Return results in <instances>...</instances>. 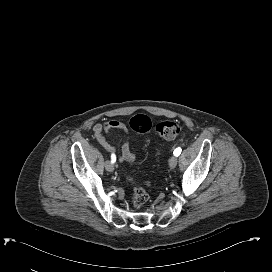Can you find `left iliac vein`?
Listing matches in <instances>:
<instances>
[{
    "label": "left iliac vein",
    "mask_w": 272,
    "mask_h": 272,
    "mask_svg": "<svg viewBox=\"0 0 272 272\" xmlns=\"http://www.w3.org/2000/svg\"><path fill=\"white\" fill-rule=\"evenodd\" d=\"M177 162H178V159L176 156H172L170 159H169V167L170 168H175L177 166Z\"/></svg>",
    "instance_id": "1"
}]
</instances>
